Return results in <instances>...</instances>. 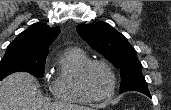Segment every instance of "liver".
Masks as SVG:
<instances>
[{
    "label": "liver",
    "mask_w": 171,
    "mask_h": 110,
    "mask_svg": "<svg viewBox=\"0 0 171 110\" xmlns=\"http://www.w3.org/2000/svg\"><path fill=\"white\" fill-rule=\"evenodd\" d=\"M39 84L27 72H16L6 77L0 86V110H90L69 103L43 102L37 97Z\"/></svg>",
    "instance_id": "6515ba94"
}]
</instances>
